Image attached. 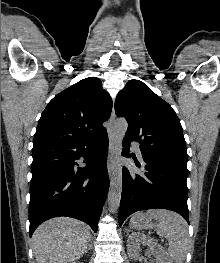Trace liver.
I'll return each mask as SVG.
<instances>
[{
  "label": "liver",
  "mask_w": 220,
  "mask_h": 263,
  "mask_svg": "<svg viewBox=\"0 0 220 263\" xmlns=\"http://www.w3.org/2000/svg\"><path fill=\"white\" fill-rule=\"evenodd\" d=\"M89 227L76 219L58 217L41 224L32 236L37 263H71L87 251Z\"/></svg>",
  "instance_id": "liver-1"
}]
</instances>
